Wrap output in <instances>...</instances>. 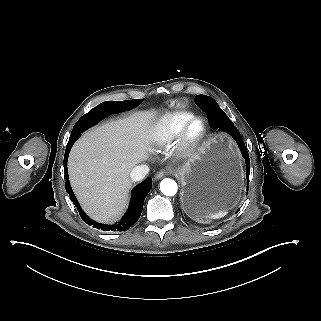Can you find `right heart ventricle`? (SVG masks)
Here are the masks:
<instances>
[{
	"instance_id": "obj_1",
	"label": "right heart ventricle",
	"mask_w": 321,
	"mask_h": 321,
	"mask_svg": "<svg viewBox=\"0 0 321 321\" xmlns=\"http://www.w3.org/2000/svg\"><path fill=\"white\" fill-rule=\"evenodd\" d=\"M193 117V113L185 109L166 111L155 118L145 132L146 145L151 148H162L174 137L180 126Z\"/></svg>"
}]
</instances>
